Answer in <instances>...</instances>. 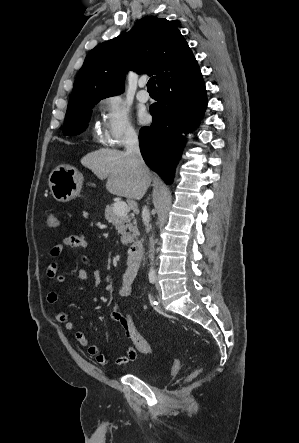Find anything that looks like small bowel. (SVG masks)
<instances>
[{
  "label": "small bowel",
  "mask_w": 299,
  "mask_h": 443,
  "mask_svg": "<svg viewBox=\"0 0 299 443\" xmlns=\"http://www.w3.org/2000/svg\"><path fill=\"white\" fill-rule=\"evenodd\" d=\"M89 245L90 241L83 233L73 234L62 239L61 242L53 246L50 250V256L53 259H57L62 254L64 248L66 247L87 249ZM81 260L85 264L86 268L74 270L73 276L78 280L87 282L93 286H98L100 284V279H101L99 270L93 266V264L90 262L87 256L83 255ZM139 267L140 265L134 266L130 265L129 263L127 264V268L122 276V282L120 287L121 296H128L130 294L132 285L138 275ZM46 274L50 279L53 280L55 286H60L65 282L66 278L64 275L59 273V265L56 261L50 263V265L47 268ZM79 290L85 291V288L81 287L79 288ZM46 301L51 306H55L58 302V293L54 289L50 290L46 295ZM53 314L55 319L61 324H63L67 330L75 329L74 321L69 317V315L66 312L54 309ZM122 314H123L122 309L119 306H116L111 311L110 318L112 321L118 323L123 329L122 319H121ZM123 332L126 336V332L124 331V329ZM75 340L80 346L86 348L89 355L95 358V360L98 363L107 364L109 362L108 357L101 351L100 347L95 344H91L84 332L76 331ZM137 354H138L137 349L131 344L126 349L123 355H120L115 359V364L123 365L132 362L136 360Z\"/></svg>",
  "instance_id": "small-bowel-1"
}]
</instances>
